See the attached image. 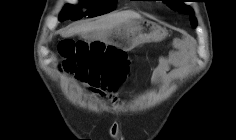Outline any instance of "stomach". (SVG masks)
Segmentation results:
<instances>
[{
  "label": "stomach",
  "mask_w": 236,
  "mask_h": 140,
  "mask_svg": "<svg viewBox=\"0 0 236 140\" xmlns=\"http://www.w3.org/2000/svg\"><path fill=\"white\" fill-rule=\"evenodd\" d=\"M102 30L114 31H91L90 41H105L127 51L143 43L161 41L166 36L161 26L142 17L131 18L121 25H102Z\"/></svg>",
  "instance_id": "1"
}]
</instances>
